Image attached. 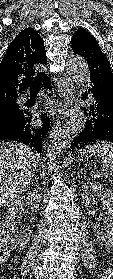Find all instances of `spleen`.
I'll return each mask as SVG.
<instances>
[{"instance_id": "spleen-1", "label": "spleen", "mask_w": 113, "mask_h": 279, "mask_svg": "<svg viewBox=\"0 0 113 279\" xmlns=\"http://www.w3.org/2000/svg\"><path fill=\"white\" fill-rule=\"evenodd\" d=\"M85 155H93L98 157L108 170L109 174L113 175V143L102 142L94 145L85 146L82 150Z\"/></svg>"}]
</instances>
